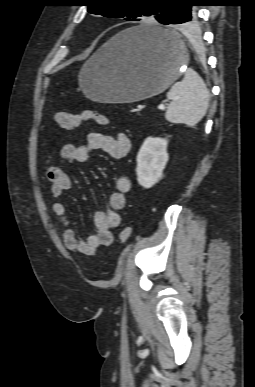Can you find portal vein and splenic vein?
Listing matches in <instances>:
<instances>
[{
	"label": "portal vein and splenic vein",
	"instance_id": "obj_1",
	"mask_svg": "<svg viewBox=\"0 0 255 387\" xmlns=\"http://www.w3.org/2000/svg\"><path fill=\"white\" fill-rule=\"evenodd\" d=\"M158 109H159V110H164V109H165V105H164V104L158 105Z\"/></svg>",
	"mask_w": 255,
	"mask_h": 387
}]
</instances>
